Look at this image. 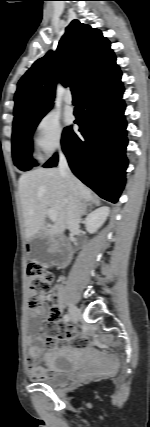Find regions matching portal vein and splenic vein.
Returning <instances> with one entry per match:
<instances>
[{"label": "portal vein and splenic vein", "mask_w": 150, "mask_h": 427, "mask_svg": "<svg viewBox=\"0 0 150 427\" xmlns=\"http://www.w3.org/2000/svg\"><path fill=\"white\" fill-rule=\"evenodd\" d=\"M47 215L52 221H55L57 218V211L54 208H49L47 210Z\"/></svg>", "instance_id": "18ae733b"}]
</instances>
